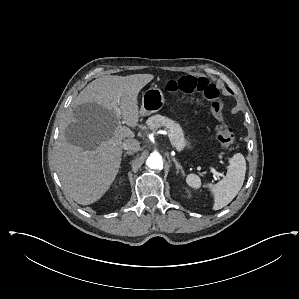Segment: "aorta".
I'll list each match as a JSON object with an SVG mask.
<instances>
[{
	"label": "aorta",
	"instance_id": "762f6f07",
	"mask_svg": "<svg viewBox=\"0 0 299 299\" xmlns=\"http://www.w3.org/2000/svg\"><path fill=\"white\" fill-rule=\"evenodd\" d=\"M146 165L151 169H161L163 167L162 157L157 153H153L148 157Z\"/></svg>",
	"mask_w": 299,
	"mask_h": 299
}]
</instances>
